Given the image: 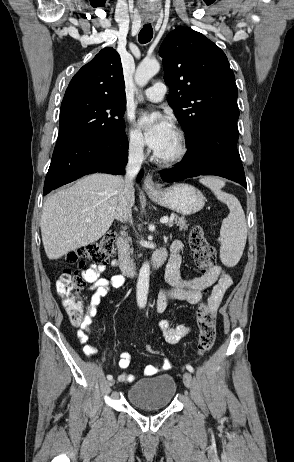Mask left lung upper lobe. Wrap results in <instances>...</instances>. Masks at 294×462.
<instances>
[{
  "mask_svg": "<svg viewBox=\"0 0 294 462\" xmlns=\"http://www.w3.org/2000/svg\"><path fill=\"white\" fill-rule=\"evenodd\" d=\"M168 103L186 134V145L222 110L237 106L235 76L224 52L203 34L177 27L163 41Z\"/></svg>",
  "mask_w": 294,
  "mask_h": 462,
  "instance_id": "left-lung-upper-lobe-1",
  "label": "left lung upper lobe"
}]
</instances>
